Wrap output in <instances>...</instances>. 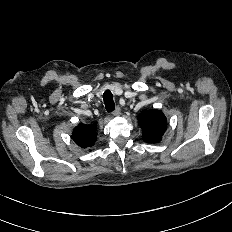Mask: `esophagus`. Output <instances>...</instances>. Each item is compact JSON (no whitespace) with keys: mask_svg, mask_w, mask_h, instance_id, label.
Returning a JSON list of instances; mask_svg holds the SVG:
<instances>
[{"mask_svg":"<svg viewBox=\"0 0 232 232\" xmlns=\"http://www.w3.org/2000/svg\"><path fill=\"white\" fill-rule=\"evenodd\" d=\"M120 113H121V108H120L119 106H117V107L114 109V111L112 112V115H113V116H118V115H120Z\"/></svg>","mask_w":232,"mask_h":232,"instance_id":"1","label":"esophagus"}]
</instances>
